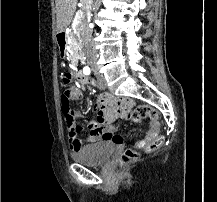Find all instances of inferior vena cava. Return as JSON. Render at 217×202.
Returning <instances> with one entry per match:
<instances>
[{
	"instance_id": "602c4592",
	"label": "inferior vena cava",
	"mask_w": 217,
	"mask_h": 202,
	"mask_svg": "<svg viewBox=\"0 0 217 202\" xmlns=\"http://www.w3.org/2000/svg\"><path fill=\"white\" fill-rule=\"evenodd\" d=\"M92 2L93 0H81V4H83V8L86 12L87 22H90L91 20L90 16H91ZM80 34H81L82 46L86 58H96V52L94 50L91 28H88L87 26L86 30H81Z\"/></svg>"
}]
</instances>
